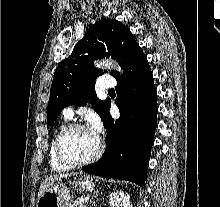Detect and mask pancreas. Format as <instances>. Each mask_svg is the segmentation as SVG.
Masks as SVG:
<instances>
[{
  "label": "pancreas",
  "mask_w": 220,
  "mask_h": 207,
  "mask_svg": "<svg viewBox=\"0 0 220 207\" xmlns=\"http://www.w3.org/2000/svg\"><path fill=\"white\" fill-rule=\"evenodd\" d=\"M69 207H88L85 198H79L69 205Z\"/></svg>",
  "instance_id": "cf45deb5"
}]
</instances>
